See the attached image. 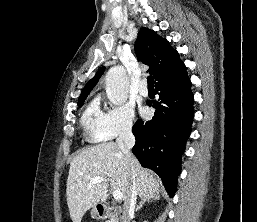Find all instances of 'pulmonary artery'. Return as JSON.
<instances>
[{"label":"pulmonary artery","mask_w":257,"mask_h":222,"mask_svg":"<svg viewBox=\"0 0 257 222\" xmlns=\"http://www.w3.org/2000/svg\"><path fill=\"white\" fill-rule=\"evenodd\" d=\"M138 90H139V93L142 96H147L148 95V88H147L146 81H144V80L141 81V83L139 84Z\"/></svg>","instance_id":"pulmonary-artery-1"}]
</instances>
